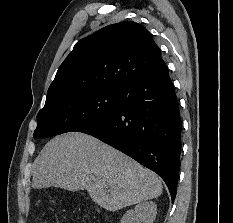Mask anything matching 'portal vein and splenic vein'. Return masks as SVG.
Wrapping results in <instances>:
<instances>
[{
	"label": "portal vein and splenic vein",
	"mask_w": 233,
	"mask_h": 223,
	"mask_svg": "<svg viewBox=\"0 0 233 223\" xmlns=\"http://www.w3.org/2000/svg\"><path fill=\"white\" fill-rule=\"evenodd\" d=\"M90 179H92V181H95V175H91Z\"/></svg>",
	"instance_id": "obj_1"
}]
</instances>
